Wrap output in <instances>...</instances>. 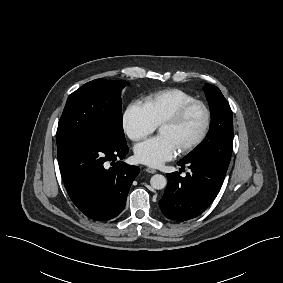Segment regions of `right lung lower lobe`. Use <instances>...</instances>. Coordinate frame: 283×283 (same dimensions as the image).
Instances as JSON below:
<instances>
[{
  "label": "right lung lower lobe",
  "instance_id": "right-lung-lower-lobe-1",
  "mask_svg": "<svg viewBox=\"0 0 283 283\" xmlns=\"http://www.w3.org/2000/svg\"><path fill=\"white\" fill-rule=\"evenodd\" d=\"M127 153L126 142L94 133L77 136L57 149L66 190L87 217L104 221L123 210L130 186L140 171L121 161Z\"/></svg>",
  "mask_w": 283,
  "mask_h": 283
}]
</instances>
